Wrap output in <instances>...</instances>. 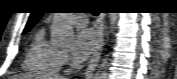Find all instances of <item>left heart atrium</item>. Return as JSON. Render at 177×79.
<instances>
[{
	"label": "left heart atrium",
	"instance_id": "left-heart-atrium-1",
	"mask_svg": "<svg viewBox=\"0 0 177 79\" xmlns=\"http://www.w3.org/2000/svg\"><path fill=\"white\" fill-rule=\"evenodd\" d=\"M98 37L91 28H82L77 32L73 56L77 61H84L97 47Z\"/></svg>",
	"mask_w": 177,
	"mask_h": 79
}]
</instances>
